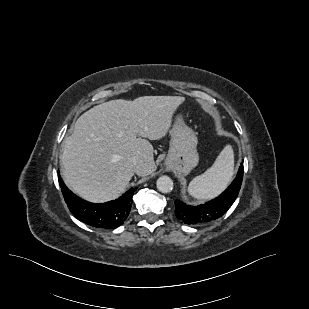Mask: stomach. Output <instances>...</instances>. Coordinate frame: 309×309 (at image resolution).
<instances>
[{"label": "stomach", "mask_w": 309, "mask_h": 309, "mask_svg": "<svg viewBox=\"0 0 309 309\" xmlns=\"http://www.w3.org/2000/svg\"><path fill=\"white\" fill-rule=\"evenodd\" d=\"M170 148L166 165L174 166L179 173L188 174L199 162L196 133L177 115L170 130Z\"/></svg>", "instance_id": "0dacf381"}]
</instances>
